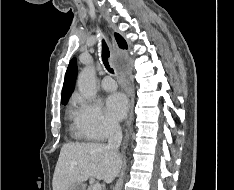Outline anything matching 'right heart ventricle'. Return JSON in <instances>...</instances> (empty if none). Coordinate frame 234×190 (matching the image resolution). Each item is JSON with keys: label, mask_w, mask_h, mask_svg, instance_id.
<instances>
[{"label": "right heart ventricle", "mask_w": 234, "mask_h": 190, "mask_svg": "<svg viewBox=\"0 0 234 190\" xmlns=\"http://www.w3.org/2000/svg\"><path fill=\"white\" fill-rule=\"evenodd\" d=\"M69 115H70L71 117H73V110H70V111H69Z\"/></svg>", "instance_id": "e07e8e85"}]
</instances>
